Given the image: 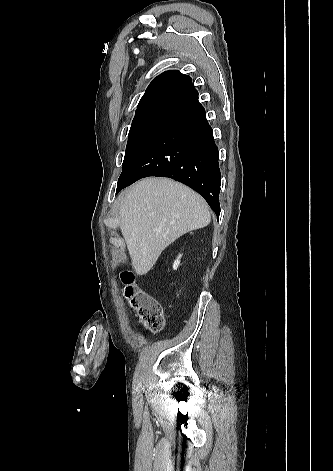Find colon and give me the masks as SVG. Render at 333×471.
<instances>
[{
  "label": "colon",
  "instance_id": "1",
  "mask_svg": "<svg viewBox=\"0 0 333 471\" xmlns=\"http://www.w3.org/2000/svg\"><path fill=\"white\" fill-rule=\"evenodd\" d=\"M121 280L125 284V296L137 311L143 325L152 333H159L164 326L163 309L158 300L133 285V275L123 272Z\"/></svg>",
  "mask_w": 333,
  "mask_h": 471
}]
</instances>
